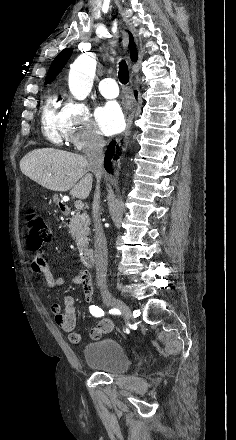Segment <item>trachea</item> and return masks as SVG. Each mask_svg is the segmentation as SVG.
Returning <instances> with one entry per match:
<instances>
[{
    "instance_id": "trachea-1",
    "label": "trachea",
    "mask_w": 236,
    "mask_h": 440,
    "mask_svg": "<svg viewBox=\"0 0 236 440\" xmlns=\"http://www.w3.org/2000/svg\"><path fill=\"white\" fill-rule=\"evenodd\" d=\"M118 78L122 84H127L129 81V70L124 60L119 63Z\"/></svg>"
}]
</instances>
